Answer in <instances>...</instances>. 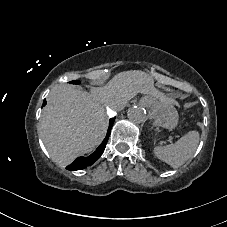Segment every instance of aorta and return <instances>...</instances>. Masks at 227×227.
I'll return each mask as SVG.
<instances>
[{
    "instance_id": "1",
    "label": "aorta",
    "mask_w": 227,
    "mask_h": 227,
    "mask_svg": "<svg viewBox=\"0 0 227 227\" xmlns=\"http://www.w3.org/2000/svg\"><path fill=\"white\" fill-rule=\"evenodd\" d=\"M127 116L134 123H142L147 120L146 110L140 106L130 107Z\"/></svg>"
}]
</instances>
